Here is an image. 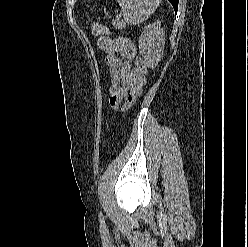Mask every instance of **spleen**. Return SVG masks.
<instances>
[{
    "label": "spleen",
    "mask_w": 248,
    "mask_h": 247,
    "mask_svg": "<svg viewBox=\"0 0 248 247\" xmlns=\"http://www.w3.org/2000/svg\"><path fill=\"white\" fill-rule=\"evenodd\" d=\"M124 20L129 24L146 21L156 10L161 0H117Z\"/></svg>",
    "instance_id": "obj_1"
}]
</instances>
